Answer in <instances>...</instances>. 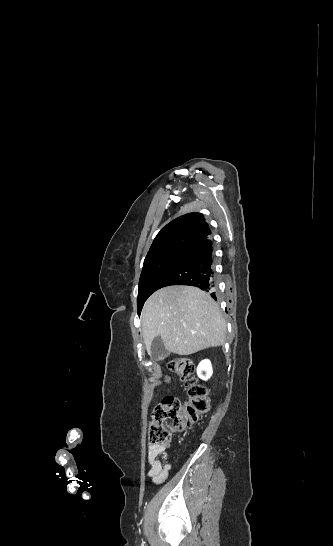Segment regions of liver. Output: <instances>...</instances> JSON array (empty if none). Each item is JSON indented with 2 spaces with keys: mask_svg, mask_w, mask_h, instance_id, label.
Returning <instances> with one entry per match:
<instances>
[{
  "mask_svg": "<svg viewBox=\"0 0 333 546\" xmlns=\"http://www.w3.org/2000/svg\"><path fill=\"white\" fill-rule=\"evenodd\" d=\"M141 319L149 355L157 336L168 352L181 356L225 342L226 323L218 304L197 287L174 285L157 290L146 301Z\"/></svg>",
  "mask_w": 333,
  "mask_h": 546,
  "instance_id": "1",
  "label": "liver"
}]
</instances>
